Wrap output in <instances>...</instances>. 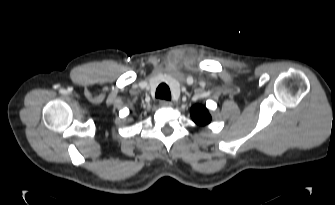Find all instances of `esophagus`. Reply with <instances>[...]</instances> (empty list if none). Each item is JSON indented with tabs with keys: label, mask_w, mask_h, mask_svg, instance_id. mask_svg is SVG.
I'll return each mask as SVG.
<instances>
[{
	"label": "esophagus",
	"mask_w": 335,
	"mask_h": 205,
	"mask_svg": "<svg viewBox=\"0 0 335 205\" xmlns=\"http://www.w3.org/2000/svg\"><path fill=\"white\" fill-rule=\"evenodd\" d=\"M160 105L162 107H170L172 105V103L170 101H168V100H161L160 101Z\"/></svg>",
	"instance_id": "34e87169"
}]
</instances>
